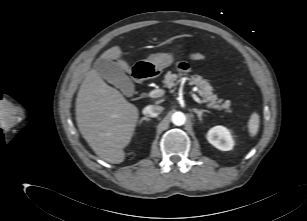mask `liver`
<instances>
[{"mask_svg": "<svg viewBox=\"0 0 307 221\" xmlns=\"http://www.w3.org/2000/svg\"><path fill=\"white\" fill-rule=\"evenodd\" d=\"M121 55V48L114 46L100 58L117 59L130 73ZM138 118V108L109 86L94 68L87 73L76 98V121L83 138L101 159L112 164L124 161L123 149L133 137Z\"/></svg>", "mask_w": 307, "mask_h": 221, "instance_id": "6515ba94", "label": "liver"}]
</instances>
